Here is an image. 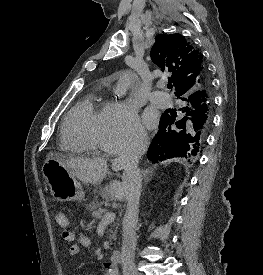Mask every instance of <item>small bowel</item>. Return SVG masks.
Masks as SVG:
<instances>
[{
  "label": "small bowel",
  "instance_id": "obj_1",
  "mask_svg": "<svg viewBox=\"0 0 263 275\" xmlns=\"http://www.w3.org/2000/svg\"><path fill=\"white\" fill-rule=\"evenodd\" d=\"M68 234H69V239H65L63 233H62L61 237L64 242L69 243L74 240V235L70 231H68ZM90 245H91L90 238L87 235H80L77 239V242L72 243L70 245L69 250H68L69 255L71 257H75L79 254L81 248H88ZM105 275H116V271L112 272V271L106 270Z\"/></svg>",
  "mask_w": 263,
  "mask_h": 275
}]
</instances>
